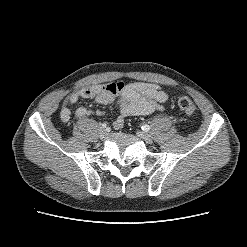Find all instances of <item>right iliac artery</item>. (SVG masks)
<instances>
[{"label":"right iliac artery","instance_id":"1","mask_svg":"<svg viewBox=\"0 0 247 247\" xmlns=\"http://www.w3.org/2000/svg\"><path fill=\"white\" fill-rule=\"evenodd\" d=\"M102 127L105 128V127H106V123H103V124H102Z\"/></svg>","mask_w":247,"mask_h":247}]
</instances>
